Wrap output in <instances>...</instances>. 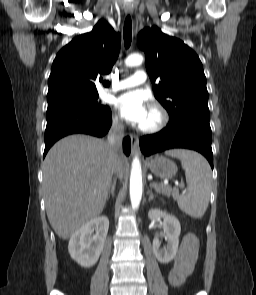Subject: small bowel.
Listing matches in <instances>:
<instances>
[{
	"label": "small bowel",
	"instance_id": "obj_1",
	"mask_svg": "<svg viewBox=\"0 0 256 295\" xmlns=\"http://www.w3.org/2000/svg\"><path fill=\"white\" fill-rule=\"evenodd\" d=\"M198 254V240L192 233H187L174 259L173 268L168 272V279L179 285L192 272Z\"/></svg>",
	"mask_w": 256,
	"mask_h": 295
}]
</instances>
